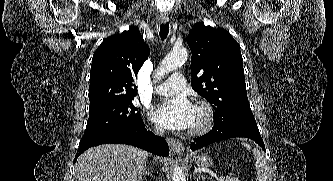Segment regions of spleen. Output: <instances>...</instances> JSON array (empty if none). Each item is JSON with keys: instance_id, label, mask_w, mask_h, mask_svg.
<instances>
[{"instance_id": "spleen-1", "label": "spleen", "mask_w": 333, "mask_h": 181, "mask_svg": "<svg viewBox=\"0 0 333 181\" xmlns=\"http://www.w3.org/2000/svg\"><path fill=\"white\" fill-rule=\"evenodd\" d=\"M248 150L251 149L250 145L243 143ZM254 158H255V168H256V175L258 181H267L268 178V165L267 161L263 158V155L260 153L259 150L253 149L252 150Z\"/></svg>"}]
</instances>
